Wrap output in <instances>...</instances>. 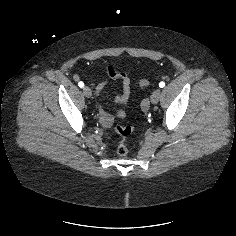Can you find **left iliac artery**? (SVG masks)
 I'll list each match as a JSON object with an SVG mask.
<instances>
[{
    "mask_svg": "<svg viewBox=\"0 0 236 236\" xmlns=\"http://www.w3.org/2000/svg\"><path fill=\"white\" fill-rule=\"evenodd\" d=\"M164 86H165V82L162 81V82L159 83L160 88H163Z\"/></svg>",
    "mask_w": 236,
    "mask_h": 236,
    "instance_id": "left-iliac-artery-1",
    "label": "left iliac artery"
}]
</instances>
